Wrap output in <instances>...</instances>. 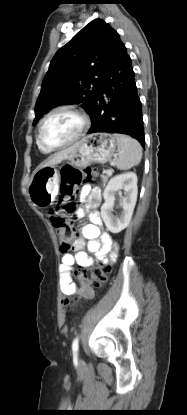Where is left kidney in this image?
<instances>
[{"label":"left kidney","instance_id":"5707ae66","mask_svg":"<svg viewBox=\"0 0 187 415\" xmlns=\"http://www.w3.org/2000/svg\"><path fill=\"white\" fill-rule=\"evenodd\" d=\"M121 190H124L125 196L120 195ZM117 194H119L122 212L120 215L114 216L112 212ZM137 194V175L134 172H126L110 179L104 189L105 202L101 206V217L110 232L119 233L129 225L137 201Z\"/></svg>","mask_w":187,"mask_h":415}]
</instances>
